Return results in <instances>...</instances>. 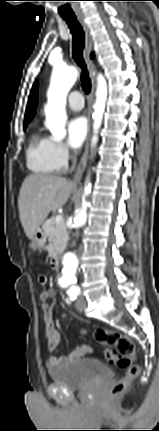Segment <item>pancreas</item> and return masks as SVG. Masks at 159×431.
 <instances>
[{
    "instance_id": "obj_1",
    "label": "pancreas",
    "mask_w": 159,
    "mask_h": 431,
    "mask_svg": "<svg viewBox=\"0 0 159 431\" xmlns=\"http://www.w3.org/2000/svg\"><path fill=\"white\" fill-rule=\"evenodd\" d=\"M55 218V216H52L43 224L44 233L50 241L47 247L49 256H55L58 252L62 251L68 240L65 222L62 221L57 224Z\"/></svg>"
}]
</instances>
